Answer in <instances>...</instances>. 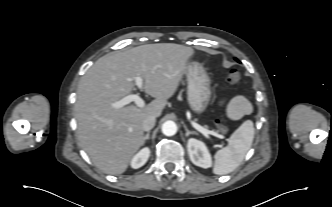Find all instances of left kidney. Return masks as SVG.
<instances>
[{
    "instance_id": "5707ae66",
    "label": "left kidney",
    "mask_w": 332,
    "mask_h": 207,
    "mask_svg": "<svg viewBox=\"0 0 332 207\" xmlns=\"http://www.w3.org/2000/svg\"><path fill=\"white\" fill-rule=\"evenodd\" d=\"M190 160L196 166L209 168L212 166L211 155L206 145L197 139L190 138L187 143Z\"/></svg>"
}]
</instances>
